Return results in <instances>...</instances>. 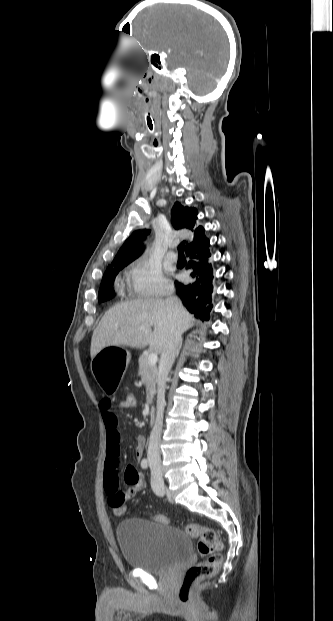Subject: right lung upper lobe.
<instances>
[{"instance_id":"obj_1","label":"right lung upper lobe","mask_w":333,"mask_h":621,"mask_svg":"<svg viewBox=\"0 0 333 621\" xmlns=\"http://www.w3.org/2000/svg\"><path fill=\"white\" fill-rule=\"evenodd\" d=\"M198 211L196 208H189L182 206L179 202H175L172 210V222L175 229L191 230L194 232V240L187 244L185 252H188L195 247H205L209 245V240L204 234V228L202 226L195 227ZM150 233V230H137L131 234V236L125 241L123 246L115 256L111 266H119L129 264L138 258L144 251V245L141 242Z\"/></svg>"}]
</instances>
